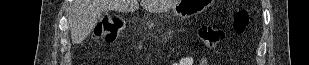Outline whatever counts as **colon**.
Listing matches in <instances>:
<instances>
[{"label":"colon","instance_id":"1","mask_svg":"<svg viewBox=\"0 0 309 65\" xmlns=\"http://www.w3.org/2000/svg\"><path fill=\"white\" fill-rule=\"evenodd\" d=\"M250 16L246 10H238L232 16V30L237 34H242L247 29ZM125 20L121 16L108 15L104 17L98 27L96 37L103 43H113L119 31L125 27ZM225 30L215 25H203L199 29V38L208 48H215L224 38Z\"/></svg>","mask_w":309,"mask_h":65}]
</instances>
